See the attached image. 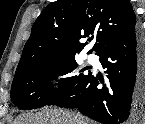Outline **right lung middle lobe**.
<instances>
[{
	"instance_id": "right-lung-middle-lobe-1",
	"label": "right lung middle lobe",
	"mask_w": 145,
	"mask_h": 124,
	"mask_svg": "<svg viewBox=\"0 0 145 124\" xmlns=\"http://www.w3.org/2000/svg\"><path fill=\"white\" fill-rule=\"evenodd\" d=\"M77 66L75 56L46 60L36 64L14 77L11 89L12 102L22 110L36 109L47 105L90 74L63 78L60 81L59 90L54 91L50 81L59 75L73 72Z\"/></svg>"
}]
</instances>
